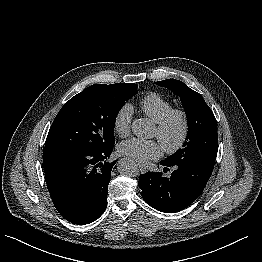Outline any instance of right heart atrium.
<instances>
[{
    "label": "right heart atrium",
    "mask_w": 262,
    "mask_h": 262,
    "mask_svg": "<svg viewBox=\"0 0 262 262\" xmlns=\"http://www.w3.org/2000/svg\"><path fill=\"white\" fill-rule=\"evenodd\" d=\"M133 119V109L129 104H124L116 112L113 128L117 135L125 137L130 134Z\"/></svg>",
    "instance_id": "right-heart-atrium-1"
}]
</instances>
